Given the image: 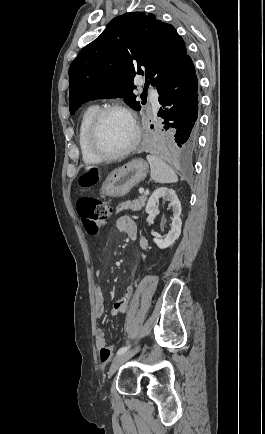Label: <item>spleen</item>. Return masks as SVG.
I'll return each mask as SVG.
<instances>
[{
  "label": "spleen",
  "instance_id": "1",
  "mask_svg": "<svg viewBox=\"0 0 265 434\" xmlns=\"http://www.w3.org/2000/svg\"><path fill=\"white\" fill-rule=\"evenodd\" d=\"M147 162L150 164L151 180L159 182V184H173L178 182V178L171 166L165 164L161 158L157 156H147Z\"/></svg>",
  "mask_w": 265,
  "mask_h": 434
}]
</instances>
